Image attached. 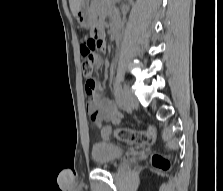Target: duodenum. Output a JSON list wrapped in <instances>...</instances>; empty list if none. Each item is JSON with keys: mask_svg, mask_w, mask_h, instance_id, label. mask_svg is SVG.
Returning <instances> with one entry per match:
<instances>
[{"mask_svg": "<svg viewBox=\"0 0 223 191\" xmlns=\"http://www.w3.org/2000/svg\"><path fill=\"white\" fill-rule=\"evenodd\" d=\"M112 34H113L114 38H118L120 35V28H118V27L114 28L112 31Z\"/></svg>", "mask_w": 223, "mask_h": 191, "instance_id": "duodenum-1", "label": "duodenum"}]
</instances>
